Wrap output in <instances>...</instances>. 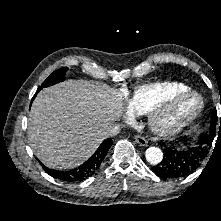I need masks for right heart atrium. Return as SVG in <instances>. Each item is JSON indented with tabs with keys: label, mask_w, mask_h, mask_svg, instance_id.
Wrapping results in <instances>:
<instances>
[{
	"label": "right heart atrium",
	"mask_w": 221,
	"mask_h": 221,
	"mask_svg": "<svg viewBox=\"0 0 221 221\" xmlns=\"http://www.w3.org/2000/svg\"><path fill=\"white\" fill-rule=\"evenodd\" d=\"M134 121V115L128 112L125 116V122L126 123H132Z\"/></svg>",
	"instance_id": "1"
}]
</instances>
